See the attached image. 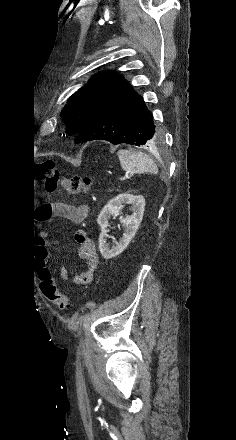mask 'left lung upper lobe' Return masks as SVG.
<instances>
[{
  "label": "left lung upper lobe",
  "mask_w": 236,
  "mask_h": 440,
  "mask_svg": "<svg viewBox=\"0 0 236 440\" xmlns=\"http://www.w3.org/2000/svg\"><path fill=\"white\" fill-rule=\"evenodd\" d=\"M128 87L124 78L114 71L93 77L69 98L62 110L68 134H79L104 106Z\"/></svg>",
  "instance_id": "1"
}]
</instances>
